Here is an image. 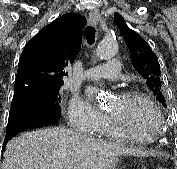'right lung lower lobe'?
Wrapping results in <instances>:
<instances>
[{"label": "right lung lower lobe", "instance_id": "right-lung-lower-lobe-1", "mask_svg": "<svg viewBox=\"0 0 177 169\" xmlns=\"http://www.w3.org/2000/svg\"><path fill=\"white\" fill-rule=\"evenodd\" d=\"M60 116L45 110L10 109L3 148L17 133L31 128L57 125Z\"/></svg>", "mask_w": 177, "mask_h": 169}]
</instances>
